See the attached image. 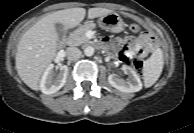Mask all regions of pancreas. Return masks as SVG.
<instances>
[{
  "instance_id": "1",
  "label": "pancreas",
  "mask_w": 194,
  "mask_h": 133,
  "mask_svg": "<svg viewBox=\"0 0 194 133\" xmlns=\"http://www.w3.org/2000/svg\"><path fill=\"white\" fill-rule=\"evenodd\" d=\"M94 28L95 24L93 23L82 25L70 34V36L68 37V44L70 46H79L82 44L90 43V40L86 37V32L89 30H93Z\"/></svg>"
}]
</instances>
